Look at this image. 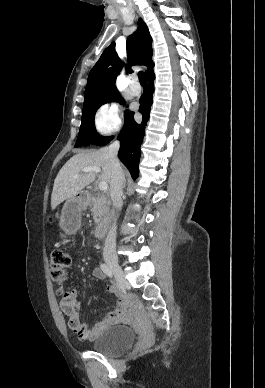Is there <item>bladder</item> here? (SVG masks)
Instances as JSON below:
<instances>
[{
  "mask_svg": "<svg viewBox=\"0 0 265 388\" xmlns=\"http://www.w3.org/2000/svg\"><path fill=\"white\" fill-rule=\"evenodd\" d=\"M134 333L130 327L106 329L94 341L93 350L107 355L122 352L134 343Z\"/></svg>",
  "mask_w": 265,
  "mask_h": 388,
  "instance_id": "obj_1",
  "label": "bladder"
}]
</instances>
